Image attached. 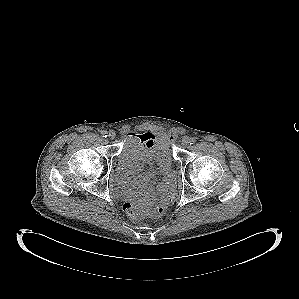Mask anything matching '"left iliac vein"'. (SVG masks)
<instances>
[{"mask_svg": "<svg viewBox=\"0 0 299 299\" xmlns=\"http://www.w3.org/2000/svg\"><path fill=\"white\" fill-rule=\"evenodd\" d=\"M189 141H190V139L187 136L183 137L182 138V145L187 147L189 145Z\"/></svg>", "mask_w": 299, "mask_h": 299, "instance_id": "left-iliac-vein-1", "label": "left iliac vein"}]
</instances>
